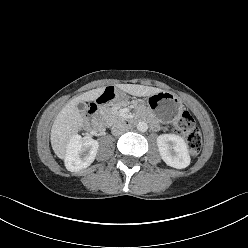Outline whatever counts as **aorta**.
Wrapping results in <instances>:
<instances>
[{
  "label": "aorta",
  "mask_w": 248,
  "mask_h": 248,
  "mask_svg": "<svg viewBox=\"0 0 248 248\" xmlns=\"http://www.w3.org/2000/svg\"><path fill=\"white\" fill-rule=\"evenodd\" d=\"M137 129L140 131V132H145V131H147V129H148V124L146 123V122H139L138 124H137Z\"/></svg>",
  "instance_id": "aorta-1"
}]
</instances>
